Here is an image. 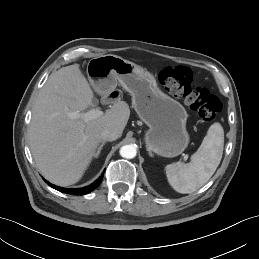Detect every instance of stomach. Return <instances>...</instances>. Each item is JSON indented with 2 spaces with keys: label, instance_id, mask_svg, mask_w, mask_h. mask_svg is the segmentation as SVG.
Segmentation results:
<instances>
[{
  "label": "stomach",
  "instance_id": "1",
  "mask_svg": "<svg viewBox=\"0 0 259 259\" xmlns=\"http://www.w3.org/2000/svg\"><path fill=\"white\" fill-rule=\"evenodd\" d=\"M87 75L98 92H109L119 83L132 96V106L148 125V151L164 157L181 154L189 144L187 112L176 100L163 93L155 77L145 68L116 55L92 58Z\"/></svg>",
  "mask_w": 259,
  "mask_h": 259
}]
</instances>
